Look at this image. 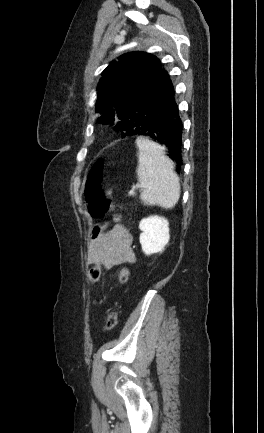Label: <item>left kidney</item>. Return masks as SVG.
I'll use <instances>...</instances> for the list:
<instances>
[{"label":"left kidney","instance_id":"left-kidney-1","mask_svg":"<svg viewBox=\"0 0 264 433\" xmlns=\"http://www.w3.org/2000/svg\"><path fill=\"white\" fill-rule=\"evenodd\" d=\"M169 223L164 217L150 216L141 220L139 229L140 244L146 255L159 253L164 250L170 239Z\"/></svg>","mask_w":264,"mask_h":433}]
</instances>
